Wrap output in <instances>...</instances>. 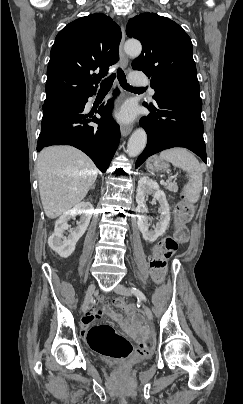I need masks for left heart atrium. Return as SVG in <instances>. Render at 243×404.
Returning <instances> with one entry per match:
<instances>
[{
	"label": "left heart atrium",
	"instance_id": "1",
	"mask_svg": "<svg viewBox=\"0 0 243 404\" xmlns=\"http://www.w3.org/2000/svg\"><path fill=\"white\" fill-rule=\"evenodd\" d=\"M132 117L130 111L124 109L117 114L119 120H130Z\"/></svg>",
	"mask_w": 243,
	"mask_h": 404
}]
</instances>
